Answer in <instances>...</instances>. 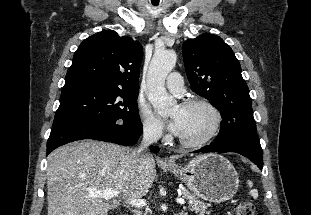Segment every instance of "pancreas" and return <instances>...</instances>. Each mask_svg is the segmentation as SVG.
I'll use <instances>...</instances> for the list:
<instances>
[{"label":"pancreas","instance_id":"1","mask_svg":"<svg viewBox=\"0 0 311 215\" xmlns=\"http://www.w3.org/2000/svg\"><path fill=\"white\" fill-rule=\"evenodd\" d=\"M183 198L188 200V207L199 215L209 214V204L202 202L195 194L190 193L186 188L180 187Z\"/></svg>","mask_w":311,"mask_h":215}]
</instances>
